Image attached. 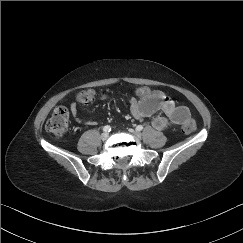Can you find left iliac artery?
<instances>
[{
    "instance_id": "1",
    "label": "left iliac artery",
    "mask_w": 243,
    "mask_h": 243,
    "mask_svg": "<svg viewBox=\"0 0 243 243\" xmlns=\"http://www.w3.org/2000/svg\"><path fill=\"white\" fill-rule=\"evenodd\" d=\"M143 129V126L142 125H138L137 127H136V130L137 131H141Z\"/></svg>"
}]
</instances>
